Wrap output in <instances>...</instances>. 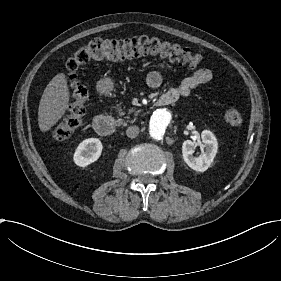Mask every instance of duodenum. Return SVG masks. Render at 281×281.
<instances>
[{
	"mask_svg": "<svg viewBox=\"0 0 281 281\" xmlns=\"http://www.w3.org/2000/svg\"><path fill=\"white\" fill-rule=\"evenodd\" d=\"M158 106L168 105V100L163 96L155 101ZM95 130L102 136H110L116 131V124L114 120L106 115H98L93 120Z\"/></svg>",
	"mask_w": 281,
	"mask_h": 281,
	"instance_id": "duodenum-1",
	"label": "duodenum"
}]
</instances>
